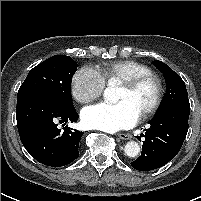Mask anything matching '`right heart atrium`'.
<instances>
[{"label": "right heart atrium", "mask_w": 201, "mask_h": 201, "mask_svg": "<svg viewBox=\"0 0 201 201\" xmlns=\"http://www.w3.org/2000/svg\"><path fill=\"white\" fill-rule=\"evenodd\" d=\"M105 80L93 67L84 66L72 78L71 92L73 98L81 103H90L99 98L104 90Z\"/></svg>", "instance_id": "1"}]
</instances>
